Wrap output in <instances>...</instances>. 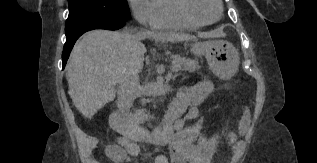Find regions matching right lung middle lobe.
Wrapping results in <instances>:
<instances>
[{"instance_id":"obj_1","label":"right lung middle lobe","mask_w":317,"mask_h":163,"mask_svg":"<svg viewBox=\"0 0 317 163\" xmlns=\"http://www.w3.org/2000/svg\"><path fill=\"white\" fill-rule=\"evenodd\" d=\"M130 19L127 0H69L65 34L100 20Z\"/></svg>"}]
</instances>
